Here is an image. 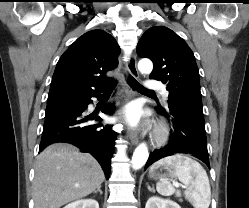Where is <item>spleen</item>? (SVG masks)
<instances>
[{
	"label": "spleen",
	"instance_id": "spleen-1",
	"mask_svg": "<svg viewBox=\"0 0 249 208\" xmlns=\"http://www.w3.org/2000/svg\"><path fill=\"white\" fill-rule=\"evenodd\" d=\"M172 166V177H176L186 186L184 195L194 208H208L211 202V187L205 169L197 161L182 154L165 157L152 165L150 171L160 166ZM156 190L163 196H170L175 192L174 186L168 178H160Z\"/></svg>",
	"mask_w": 249,
	"mask_h": 208
}]
</instances>
